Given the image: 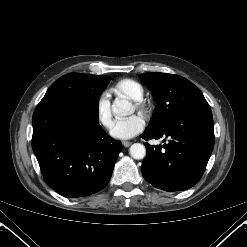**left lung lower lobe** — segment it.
<instances>
[{
    "instance_id": "obj_1",
    "label": "left lung lower lobe",
    "mask_w": 247,
    "mask_h": 247,
    "mask_svg": "<svg viewBox=\"0 0 247 247\" xmlns=\"http://www.w3.org/2000/svg\"><path fill=\"white\" fill-rule=\"evenodd\" d=\"M168 138L162 146L145 143L147 155L141 170L154 187L182 191L202 177L214 146L211 110H199L175 119L159 130L146 129L142 138ZM165 142V140H164Z\"/></svg>"
}]
</instances>
